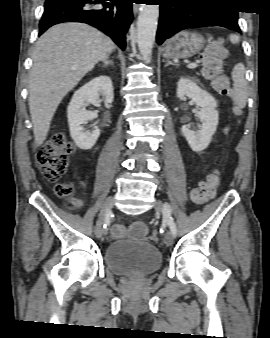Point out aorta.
I'll use <instances>...</instances> for the list:
<instances>
[{"label":"aorta","instance_id":"762f6f07","mask_svg":"<svg viewBox=\"0 0 270 338\" xmlns=\"http://www.w3.org/2000/svg\"><path fill=\"white\" fill-rule=\"evenodd\" d=\"M159 17L158 5L142 4L137 21V43L144 60L150 61Z\"/></svg>","mask_w":270,"mask_h":338}]
</instances>
